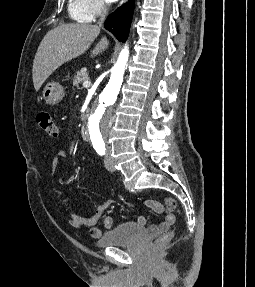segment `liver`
Returning <instances> with one entry per match:
<instances>
[{
	"mask_svg": "<svg viewBox=\"0 0 255 287\" xmlns=\"http://www.w3.org/2000/svg\"><path fill=\"white\" fill-rule=\"evenodd\" d=\"M99 34V26L91 24H63L47 32L33 62L32 76L36 92L62 64L85 54ZM108 46L107 38H102L95 46L91 58L104 52Z\"/></svg>",
	"mask_w": 255,
	"mask_h": 287,
	"instance_id": "obj_1",
	"label": "liver"
}]
</instances>
